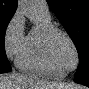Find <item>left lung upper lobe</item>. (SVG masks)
<instances>
[{
    "mask_svg": "<svg viewBox=\"0 0 89 89\" xmlns=\"http://www.w3.org/2000/svg\"><path fill=\"white\" fill-rule=\"evenodd\" d=\"M71 39L79 55L75 76H89V0H47Z\"/></svg>",
    "mask_w": 89,
    "mask_h": 89,
    "instance_id": "obj_1",
    "label": "left lung upper lobe"
}]
</instances>
